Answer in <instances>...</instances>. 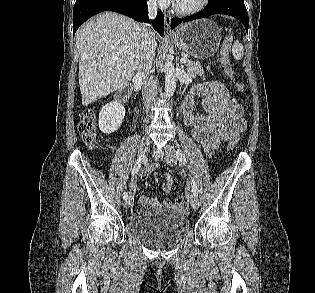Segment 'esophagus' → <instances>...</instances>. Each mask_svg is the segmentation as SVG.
<instances>
[{"mask_svg": "<svg viewBox=\"0 0 315 293\" xmlns=\"http://www.w3.org/2000/svg\"><path fill=\"white\" fill-rule=\"evenodd\" d=\"M170 24H171V17L169 15L165 14L164 15V25H165L166 33H171Z\"/></svg>", "mask_w": 315, "mask_h": 293, "instance_id": "1", "label": "esophagus"}]
</instances>
